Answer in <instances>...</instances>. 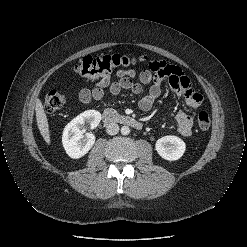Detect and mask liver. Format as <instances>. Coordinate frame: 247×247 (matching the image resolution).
Instances as JSON below:
<instances>
[{"instance_id": "1", "label": "liver", "mask_w": 247, "mask_h": 247, "mask_svg": "<svg viewBox=\"0 0 247 247\" xmlns=\"http://www.w3.org/2000/svg\"><path fill=\"white\" fill-rule=\"evenodd\" d=\"M35 112H36V121L38 129L45 140V142L50 145V131H49V124H48V118L44 111V107L42 102L37 99L36 105H35Z\"/></svg>"}]
</instances>
